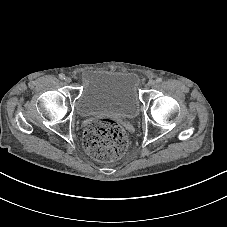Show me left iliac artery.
Returning a JSON list of instances; mask_svg holds the SVG:
<instances>
[{"instance_id":"left-iliac-artery-1","label":"left iliac artery","mask_w":227,"mask_h":227,"mask_svg":"<svg viewBox=\"0 0 227 227\" xmlns=\"http://www.w3.org/2000/svg\"><path fill=\"white\" fill-rule=\"evenodd\" d=\"M156 82H157V83H161V82H162V78H157V79H156Z\"/></svg>"}]
</instances>
